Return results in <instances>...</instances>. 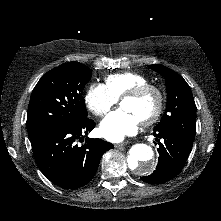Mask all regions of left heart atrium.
<instances>
[{
	"mask_svg": "<svg viewBox=\"0 0 221 221\" xmlns=\"http://www.w3.org/2000/svg\"><path fill=\"white\" fill-rule=\"evenodd\" d=\"M140 120L130 111L119 108L107 115L100 123V134L112 142H120L136 133Z\"/></svg>",
	"mask_w": 221,
	"mask_h": 221,
	"instance_id": "left-heart-atrium-1",
	"label": "left heart atrium"
}]
</instances>
